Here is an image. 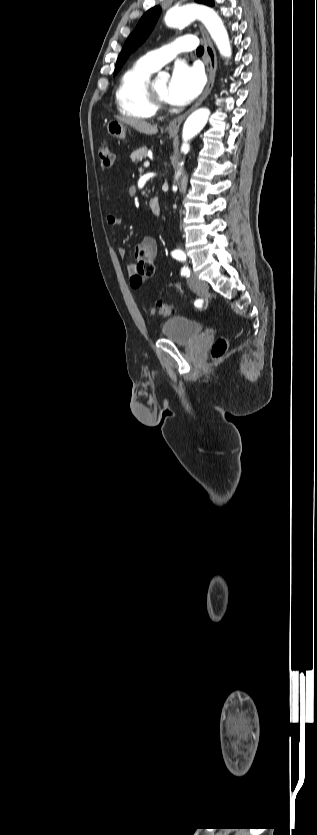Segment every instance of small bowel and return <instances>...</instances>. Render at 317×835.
I'll return each mask as SVG.
<instances>
[{"mask_svg":"<svg viewBox=\"0 0 317 835\" xmlns=\"http://www.w3.org/2000/svg\"><path fill=\"white\" fill-rule=\"evenodd\" d=\"M107 223L111 227H116V226L121 224V218L119 216L115 215V214H109L107 216ZM117 253L121 258L126 257V250L121 246L117 247ZM156 255H157V243H156L155 239L152 238V237H145L138 243V245L136 247V252H135V259L137 261L136 264L140 260L150 261V262L154 263V261L156 259ZM136 264H132L128 267V271L130 273L134 272Z\"/></svg>","mask_w":317,"mask_h":835,"instance_id":"1","label":"small bowel"}]
</instances>
